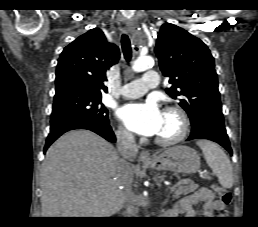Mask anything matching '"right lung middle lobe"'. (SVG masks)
<instances>
[{
    "label": "right lung middle lobe",
    "mask_w": 258,
    "mask_h": 227,
    "mask_svg": "<svg viewBox=\"0 0 258 227\" xmlns=\"http://www.w3.org/2000/svg\"><path fill=\"white\" fill-rule=\"evenodd\" d=\"M102 95L82 91H66L54 96L52 115L73 114L97 124L107 125L108 110L101 103Z\"/></svg>",
    "instance_id": "1"
}]
</instances>
